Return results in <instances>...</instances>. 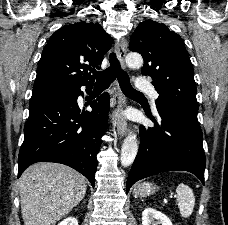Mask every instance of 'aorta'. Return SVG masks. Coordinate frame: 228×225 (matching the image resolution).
Here are the masks:
<instances>
[{
	"instance_id": "aorta-1",
	"label": "aorta",
	"mask_w": 228,
	"mask_h": 225,
	"mask_svg": "<svg viewBox=\"0 0 228 225\" xmlns=\"http://www.w3.org/2000/svg\"><path fill=\"white\" fill-rule=\"evenodd\" d=\"M126 62L128 66H131V68H139V66H142L143 64V58L141 54H138V52H129ZM137 153V135H134V133H129L128 137L124 139L121 149L120 161L122 167H130L133 161H135Z\"/></svg>"
}]
</instances>
